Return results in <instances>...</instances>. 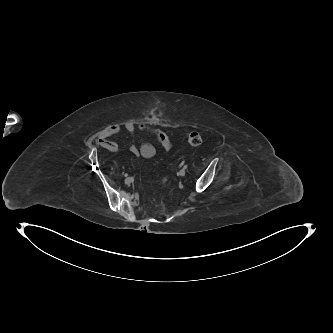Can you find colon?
<instances>
[{
    "label": "colon",
    "instance_id": "1",
    "mask_svg": "<svg viewBox=\"0 0 333 333\" xmlns=\"http://www.w3.org/2000/svg\"><path fill=\"white\" fill-rule=\"evenodd\" d=\"M186 138H187V141L189 142V144L194 147H197V146L201 145V143H202V137L197 132L188 133ZM166 181H167V179L164 178L163 182L165 183Z\"/></svg>",
    "mask_w": 333,
    "mask_h": 333
}]
</instances>
